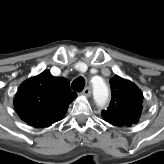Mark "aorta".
<instances>
[{"mask_svg":"<svg viewBox=\"0 0 164 164\" xmlns=\"http://www.w3.org/2000/svg\"><path fill=\"white\" fill-rule=\"evenodd\" d=\"M93 97L97 105L105 106L109 100V89L102 81L93 83Z\"/></svg>","mask_w":164,"mask_h":164,"instance_id":"1","label":"aorta"}]
</instances>
